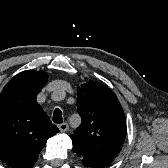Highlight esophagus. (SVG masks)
<instances>
[{
  "label": "esophagus",
  "instance_id": "1",
  "mask_svg": "<svg viewBox=\"0 0 168 168\" xmlns=\"http://www.w3.org/2000/svg\"><path fill=\"white\" fill-rule=\"evenodd\" d=\"M58 128L60 129L61 132H65L68 130L69 126L67 123H62L58 125Z\"/></svg>",
  "mask_w": 168,
  "mask_h": 168
}]
</instances>
